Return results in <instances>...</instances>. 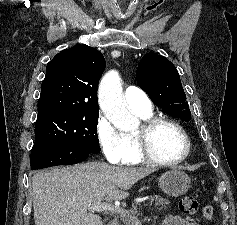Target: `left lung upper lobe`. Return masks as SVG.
I'll list each match as a JSON object with an SVG mask.
<instances>
[{"instance_id":"obj_1","label":"left lung upper lobe","mask_w":237,"mask_h":225,"mask_svg":"<svg viewBox=\"0 0 237 225\" xmlns=\"http://www.w3.org/2000/svg\"><path fill=\"white\" fill-rule=\"evenodd\" d=\"M136 76L138 85L157 106L184 121L191 119L178 71L166 57L147 53L138 64Z\"/></svg>"}]
</instances>
